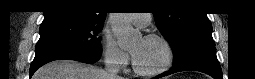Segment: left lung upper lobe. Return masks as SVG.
Here are the masks:
<instances>
[{
    "instance_id": "left-lung-upper-lobe-1",
    "label": "left lung upper lobe",
    "mask_w": 255,
    "mask_h": 79,
    "mask_svg": "<svg viewBox=\"0 0 255 79\" xmlns=\"http://www.w3.org/2000/svg\"><path fill=\"white\" fill-rule=\"evenodd\" d=\"M153 15L158 29L173 49L174 66L200 54L215 53L207 14L188 10L168 12L164 9L155 11Z\"/></svg>"
}]
</instances>
